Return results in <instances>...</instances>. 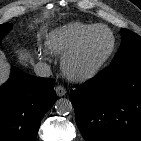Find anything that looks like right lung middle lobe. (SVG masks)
<instances>
[{"instance_id":"dd1d6c3e","label":"right lung middle lobe","mask_w":141,"mask_h":141,"mask_svg":"<svg viewBox=\"0 0 141 141\" xmlns=\"http://www.w3.org/2000/svg\"><path fill=\"white\" fill-rule=\"evenodd\" d=\"M12 24L4 23L0 25V44L1 39L11 30Z\"/></svg>"}]
</instances>
